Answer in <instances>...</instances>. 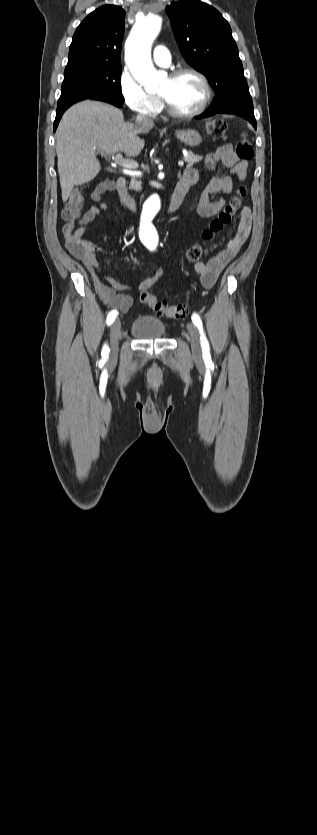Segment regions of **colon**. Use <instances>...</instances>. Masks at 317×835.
Masks as SVG:
<instances>
[{"label":"colon","instance_id":"5ec220e1","mask_svg":"<svg viewBox=\"0 0 317 835\" xmlns=\"http://www.w3.org/2000/svg\"><path fill=\"white\" fill-rule=\"evenodd\" d=\"M206 132L209 136L216 139H225L228 134L227 124L222 120H213L207 123ZM236 154L242 160H250L253 158L254 151L251 143L242 137L236 146ZM247 190L244 186H240L236 195L229 201V203L219 212L203 231V238L206 240L213 239L224 228L228 227L238 210L241 208L242 200L245 198ZM84 202V193L80 188H74L62 210V218L65 221L64 232L68 237V242L74 251L79 255H85L94 250L91 242L80 238H73L74 223L79 218ZM203 254L202 246L195 244L191 246L187 252V258L190 261H195L201 258ZM139 300L142 304L147 305L157 316H165L171 319H181L186 315V309L183 305H171L165 303L147 290L141 291Z\"/></svg>","mask_w":317,"mask_h":835}]
</instances>
